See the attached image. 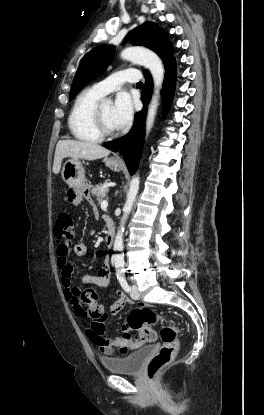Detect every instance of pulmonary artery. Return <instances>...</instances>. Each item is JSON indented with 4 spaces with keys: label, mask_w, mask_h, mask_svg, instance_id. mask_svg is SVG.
Listing matches in <instances>:
<instances>
[{
    "label": "pulmonary artery",
    "mask_w": 264,
    "mask_h": 415,
    "mask_svg": "<svg viewBox=\"0 0 264 415\" xmlns=\"http://www.w3.org/2000/svg\"><path fill=\"white\" fill-rule=\"evenodd\" d=\"M141 75L138 72H130L127 70L118 71L105 80L94 84L91 90L100 96H104L118 90L125 82L138 83Z\"/></svg>",
    "instance_id": "e3ab8cb5"
}]
</instances>
